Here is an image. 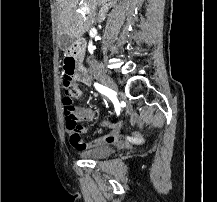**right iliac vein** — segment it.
Listing matches in <instances>:
<instances>
[{
  "instance_id": "obj_1",
  "label": "right iliac vein",
  "mask_w": 217,
  "mask_h": 202,
  "mask_svg": "<svg viewBox=\"0 0 217 202\" xmlns=\"http://www.w3.org/2000/svg\"><path fill=\"white\" fill-rule=\"evenodd\" d=\"M95 77L99 82H101L106 87L110 88L115 92H118V88L116 87L114 81L108 75L104 73H97Z\"/></svg>"
}]
</instances>
